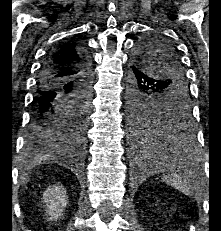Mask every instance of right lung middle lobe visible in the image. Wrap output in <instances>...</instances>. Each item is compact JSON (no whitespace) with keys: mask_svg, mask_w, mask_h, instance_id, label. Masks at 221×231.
<instances>
[{"mask_svg":"<svg viewBox=\"0 0 221 231\" xmlns=\"http://www.w3.org/2000/svg\"><path fill=\"white\" fill-rule=\"evenodd\" d=\"M90 105L83 96H77L69 101L62 115L63 127L66 133L78 144L85 142V130L88 122Z\"/></svg>","mask_w":221,"mask_h":231,"instance_id":"1","label":"right lung middle lobe"}]
</instances>
